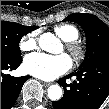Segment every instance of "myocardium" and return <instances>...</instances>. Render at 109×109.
<instances>
[{"label":"myocardium","mask_w":109,"mask_h":109,"mask_svg":"<svg viewBox=\"0 0 109 109\" xmlns=\"http://www.w3.org/2000/svg\"><path fill=\"white\" fill-rule=\"evenodd\" d=\"M67 49L71 55L73 63L75 65L81 64L86 56V50L82 44L78 41H72L67 44Z\"/></svg>","instance_id":"1"}]
</instances>
